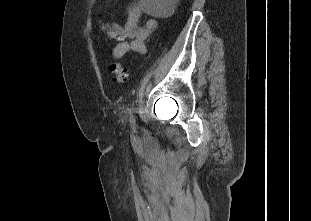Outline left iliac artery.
Masks as SVG:
<instances>
[{
    "mask_svg": "<svg viewBox=\"0 0 311 221\" xmlns=\"http://www.w3.org/2000/svg\"><path fill=\"white\" fill-rule=\"evenodd\" d=\"M129 122H130L132 127H135L136 123H135V118L133 115V108L130 109Z\"/></svg>",
    "mask_w": 311,
    "mask_h": 221,
    "instance_id": "44dca946",
    "label": "left iliac artery"
}]
</instances>
